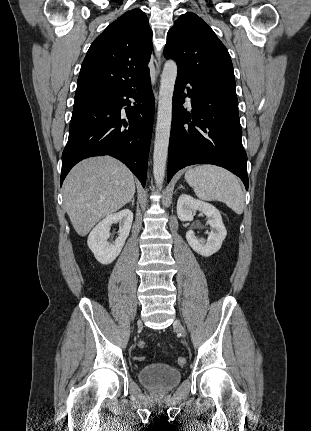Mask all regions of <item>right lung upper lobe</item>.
Instances as JSON below:
<instances>
[{"label": "right lung upper lobe", "mask_w": 311, "mask_h": 431, "mask_svg": "<svg viewBox=\"0 0 311 431\" xmlns=\"http://www.w3.org/2000/svg\"><path fill=\"white\" fill-rule=\"evenodd\" d=\"M152 53V31L140 9L124 13L91 44L82 63L75 98L115 91L142 79Z\"/></svg>", "instance_id": "1"}]
</instances>
